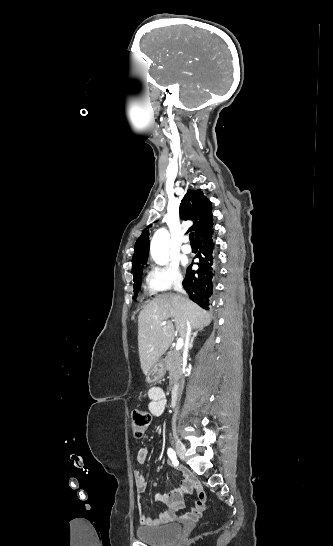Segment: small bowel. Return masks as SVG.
Returning <instances> with one entry per match:
<instances>
[{
  "label": "small bowel",
  "instance_id": "obj_1",
  "mask_svg": "<svg viewBox=\"0 0 333 546\" xmlns=\"http://www.w3.org/2000/svg\"><path fill=\"white\" fill-rule=\"evenodd\" d=\"M149 410L153 416H161L167 408V397L165 391L161 387H151L148 390ZM149 450L146 447H141L137 452V461L144 463L148 457ZM182 481L178 489L169 493H160L156 495V501L163 503L167 509L161 512L157 517H147L141 505L138 506L139 521L142 526L157 527L167 524L172 521L174 511L183 506V498L186 494L195 493L196 500L194 506L189 512L183 515V519L195 521L201 517L204 511L206 494L200 482L188 470L182 471ZM135 487L138 497L142 496L147 489V479L145 476L136 471L134 473Z\"/></svg>",
  "mask_w": 333,
  "mask_h": 546
}]
</instances>
